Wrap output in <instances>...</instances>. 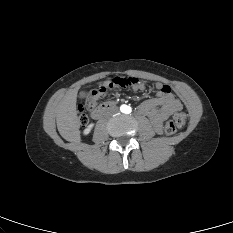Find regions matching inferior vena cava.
I'll list each match as a JSON object with an SVG mask.
<instances>
[{
	"label": "inferior vena cava",
	"instance_id": "inferior-vena-cava-1",
	"mask_svg": "<svg viewBox=\"0 0 233 233\" xmlns=\"http://www.w3.org/2000/svg\"><path fill=\"white\" fill-rule=\"evenodd\" d=\"M117 110L116 109H113L112 112H116Z\"/></svg>",
	"mask_w": 233,
	"mask_h": 233
}]
</instances>
